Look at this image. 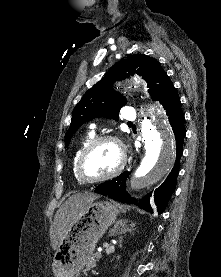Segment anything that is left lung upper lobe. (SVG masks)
<instances>
[{
  "mask_svg": "<svg viewBox=\"0 0 221 277\" xmlns=\"http://www.w3.org/2000/svg\"><path fill=\"white\" fill-rule=\"evenodd\" d=\"M138 74L146 80L148 92L154 101H162L173 87L159 62L144 54H134L118 62L102 80L90 88L73 110L70 127L65 134L66 147L73 134L85 122L96 117L118 120L120 108L126 104L125 97L112 88L115 81Z\"/></svg>",
  "mask_w": 221,
  "mask_h": 277,
  "instance_id": "1",
  "label": "left lung upper lobe"
}]
</instances>
